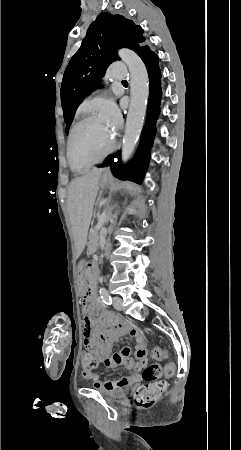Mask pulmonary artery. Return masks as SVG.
I'll list each match as a JSON object with an SVG mask.
<instances>
[{"mask_svg": "<svg viewBox=\"0 0 241 450\" xmlns=\"http://www.w3.org/2000/svg\"><path fill=\"white\" fill-rule=\"evenodd\" d=\"M125 70V64H109L105 70V77L126 80L128 78V73Z\"/></svg>", "mask_w": 241, "mask_h": 450, "instance_id": "1", "label": "pulmonary artery"}]
</instances>
